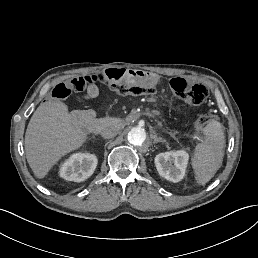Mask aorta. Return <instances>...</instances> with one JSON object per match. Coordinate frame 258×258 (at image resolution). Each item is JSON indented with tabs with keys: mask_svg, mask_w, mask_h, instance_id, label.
Instances as JSON below:
<instances>
[{
	"mask_svg": "<svg viewBox=\"0 0 258 258\" xmlns=\"http://www.w3.org/2000/svg\"><path fill=\"white\" fill-rule=\"evenodd\" d=\"M127 140L134 146H141L146 140V132L142 127H133L127 134Z\"/></svg>",
	"mask_w": 258,
	"mask_h": 258,
	"instance_id": "1",
	"label": "aorta"
}]
</instances>
